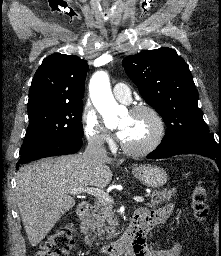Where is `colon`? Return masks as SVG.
Returning <instances> with one entry per match:
<instances>
[{
    "instance_id": "colon-1",
    "label": "colon",
    "mask_w": 221,
    "mask_h": 256,
    "mask_svg": "<svg viewBox=\"0 0 221 256\" xmlns=\"http://www.w3.org/2000/svg\"><path fill=\"white\" fill-rule=\"evenodd\" d=\"M205 188L196 186L191 194V205L194 216L200 222L207 216L208 207ZM73 226L68 224L51 234L40 245L35 256H68L74 247Z\"/></svg>"
}]
</instances>
